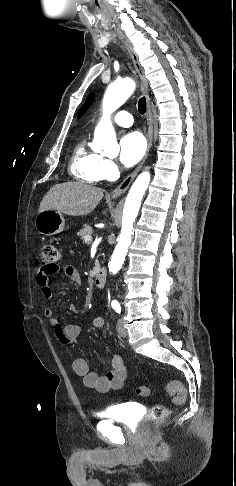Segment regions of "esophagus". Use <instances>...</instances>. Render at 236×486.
<instances>
[{
    "instance_id": "34e87169",
    "label": "esophagus",
    "mask_w": 236,
    "mask_h": 486,
    "mask_svg": "<svg viewBox=\"0 0 236 486\" xmlns=\"http://www.w3.org/2000/svg\"><path fill=\"white\" fill-rule=\"evenodd\" d=\"M116 33L118 34L119 38L124 43V45L126 46V48L128 49V51L130 53V56H131L132 61H133V64H134V67H135V69H136V71H137V73L139 75V78H140L141 91H142L143 95L146 97V102H147L146 116H147V125H148L147 142H148V144H147V150H146L145 156H144L143 160L141 161V163L138 165V167L132 173H130L111 192V196L112 197H118V196L122 195L123 193H125L126 190L129 188L130 184L132 183V181L134 180V178L136 177V175L138 174V172L140 171V169L142 168V166H143V164H144V162H145V160H146V158H147V156L149 154L150 148L152 146V141H153V123H154L152 109H151L150 97H149V94H148V81H147V78H146V75H145V72H144V68L141 65V63L139 61V57H138L137 53L134 51L133 46L130 43V41L118 29H116Z\"/></svg>"
}]
</instances>
